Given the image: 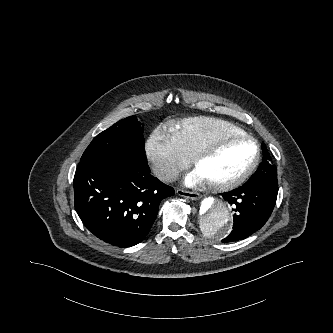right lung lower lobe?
Listing matches in <instances>:
<instances>
[{"instance_id":"98d812e1","label":"right lung lower lobe","mask_w":333,"mask_h":333,"mask_svg":"<svg viewBox=\"0 0 333 333\" xmlns=\"http://www.w3.org/2000/svg\"><path fill=\"white\" fill-rule=\"evenodd\" d=\"M75 209L85 227L121 248L138 244L153 225L160 202L175 191L150 174L148 165L119 160L78 164Z\"/></svg>"}]
</instances>
